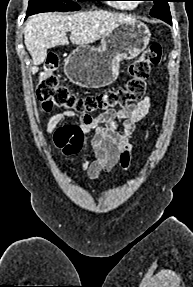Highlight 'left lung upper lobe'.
Segmentation results:
<instances>
[{"mask_svg": "<svg viewBox=\"0 0 193 287\" xmlns=\"http://www.w3.org/2000/svg\"><path fill=\"white\" fill-rule=\"evenodd\" d=\"M151 1H154V6L150 11V15L171 24V15L168 5V2L170 0H151Z\"/></svg>", "mask_w": 193, "mask_h": 287, "instance_id": "5c2ea615", "label": "left lung upper lobe"}]
</instances>
